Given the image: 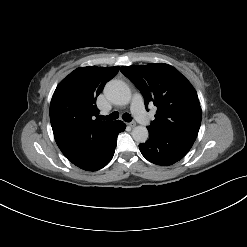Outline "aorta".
<instances>
[{
  "label": "aorta",
  "mask_w": 247,
  "mask_h": 247,
  "mask_svg": "<svg viewBox=\"0 0 247 247\" xmlns=\"http://www.w3.org/2000/svg\"><path fill=\"white\" fill-rule=\"evenodd\" d=\"M105 96L115 105L124 106L131 101V90L128 85L121 80H111L104 88ZM149 136L145 126H136L132 130V137L136 142L144 143Z\"/></svg>",
  "instance_id": "obj_1"
}]
</instances>
